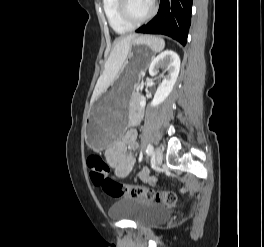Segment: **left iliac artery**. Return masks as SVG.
Returning <instances> with one entry per match:
<instances>
[{
  "mask_svg": "<svg viewBox=\"0 0 264 247\" xmlns=\"http://www.w3.org/2000/svg\"><path fill=\"white\" fill-rule=\"evenodd\" d=\"M146 153L148 156H152L154 154V148L151 144H148L147 149H146Z\"/></svg>",
  "mask_w": 264,
  "mask_h": 247,
  "instance_id": "1",
  "label": "left iliac artery"
}]
</instances>
